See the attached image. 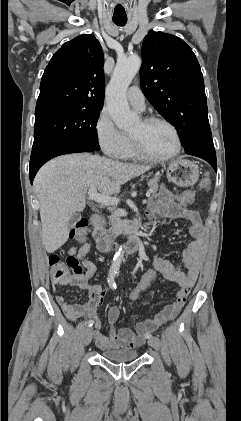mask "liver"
<instances>
[{
    "mask_svg": "<svg viewBox=\"0 0 241 421\" xmlns=\"http://www.w3.org/2000/svg\"><path fill=\"white\" fill-rule=\"evenodd\" d=\"M150 169L148 165L123 163L88 153L64 155L46 163L34 180L46 251L53 253L67 241L69 220L85 208V195L90 188L111 196L123 184Z\"/></svg>",
    "mask_w": 241,
    "mask_h": 421,
    "instance_id": "6515ba94",
    "label": "liver"
}]
</instances>
